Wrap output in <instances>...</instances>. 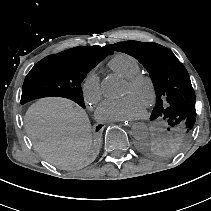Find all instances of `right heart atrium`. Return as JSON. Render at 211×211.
<instances>
[{
	"mask_svg": "<svg viewBox=\"0 0 211 211\" xmlns=\"http://www.w3.org/2000/svg\"><path fill=\"white\" fill-rule=\"evenodd\" d=\"M81 93L84 101L90 105H96L103 96V88L99 75L95 71H90L81 83Z\"/></svg>",
	"mask_w": 211,
	"mask_h": 211,
	"instance_id": "right-heart-atrium-1",
	"label": "right heart atrium"
}]
</instances>
